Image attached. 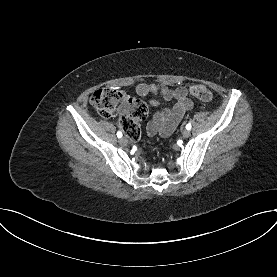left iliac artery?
I'll return each mask as SVG.
<instances>
[{
  "label": "left iliac artery",
  "mask_w": 277,
  "mask_h": 277,
  "mask_svg": "<svg viewBox=\"0 0 277 277\" xmlns=\"http://www.w3.org/2000/svg\"><path fill=\"white\" fill-rule=\"evenodd\" d=\"M186 129H187V130H190V129H191V124H190V123H188V124L186 125Z\"/></svg>",
  "instance_id": "left-iliac-artery-1"
}]
</instances>
